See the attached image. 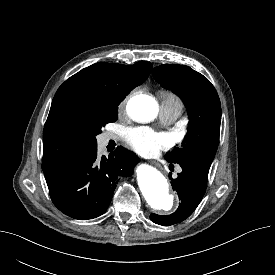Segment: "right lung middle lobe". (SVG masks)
Here are the masks:
<instances>
[{"label":"right lung middle lobe","instance_id":"dd1d6c3e","mask_svg":"<svg viewBox=\"0 0 275 275\" xmlns=\"http://www.w3.org/2000/svg\"><path fill=\"white\" fill-rule=\"evenodd\" d=\"M118 107L89 112L74 111L65 117L68 131L81 143L84 149L97 146L96 135L107 123L115 122Z\"/></svg>","mask_w":275,"mask_h":275}]
</instances>
